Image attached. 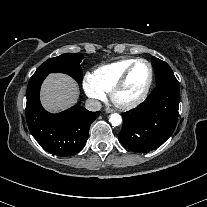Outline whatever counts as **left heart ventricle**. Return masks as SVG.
<instances>
[{
  "instance_id": "1",
  "label": "left heart ventricle",
  "mask_w": 207,
  "mask_h": 207,
  "mask_svg": "<svg viewBox=\"0 0 207 207\" xmlns=\"http://www.w3.org/2000/svg\"><path fill=\"white\" fill-rule=\"evenodd\" d=\"M149 78L148 66L144 63L137 64L132 70L125 86L118 94L121 101L128 102L140 95Z\"/></svg>"
}]
</instances>
